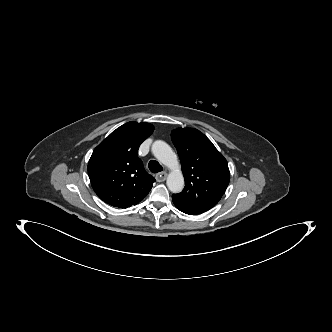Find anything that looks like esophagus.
<instances>
[{
  "label": "esophagus",
  "mask_w": 332,
  "mask_h": 332,
  "mask_svg": "<svg viewBox=\"0 0 332 332\" xmlns=\"http://www.w3.org/2000/svg\"><path fill=\"white\" fill-rule=\"evenodd\" d=\"M167 178V172L166 171H163L161 173H159L157 176H156V179L158 182H163L165 181Z\"/></svg>",
  "instance_id": "obj_1"
}]
</instances>
